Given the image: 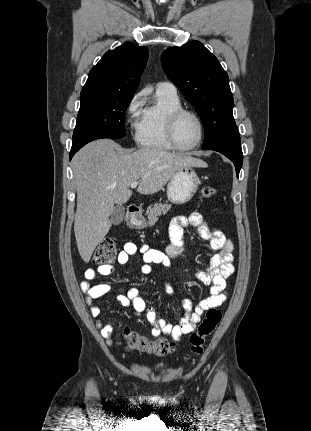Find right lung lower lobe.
Segmentation results:
<instances>
[{"label": "right lung lower lobe", "mask_w": 311, "mask_h": 431, "mask_svg": "<svg viewBox=\"0 0 311 431\" xmlns=\"http://www.w3.org/2000/svg\"><path fill=\"white\" fill-rule=\"evenodd\" d=\"M101 138H121L118 137L116 135H112V134H108V133H102V132H95V133H90L84 136H81L77 139H73V144H72V148L70 151V160L73 157V155L80 149L82 148L85 144L96 140V139H101Z\"/></svg>", "instance_id": "98d812e1"}]
</instances>
